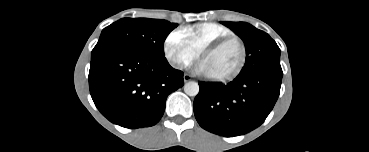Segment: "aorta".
<instances>
[{"label":"aorta","instance_id":"obj_1","mask_svg":"<svg viewBox=\"0 0 369 152\" xmlns=\"http://www.w3.org/2000/svg\"><path fill=\"white\" fill-rule=\"evenodd\" d=\"M184 92L188 96H196L199 93V85L197 82L189 81L184 85Z\"/></svg>","mask_w":369,"mask_h":152}]
</instances>
